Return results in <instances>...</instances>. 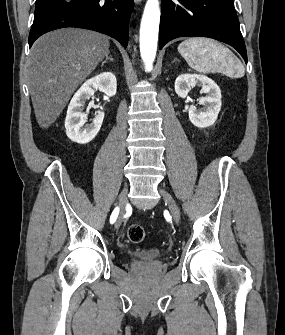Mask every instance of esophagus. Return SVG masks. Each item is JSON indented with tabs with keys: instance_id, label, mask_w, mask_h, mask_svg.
<instances>
[{
	"instance_id": "obj_1",
	"label": "esophagus",
	"mask_w": 285,
	"mask_h": 335,
	"mask_svg": "<svg viewBox=\"0 0 285 335\" xmlns=\"http://www.w3.org/2000/svg\"><path fill=\"white\" fill-rule=\"evenodd\" d=\"M134 2H135V3H140V2H141V0H134Z\"/></svg>"
}]
</instances>
